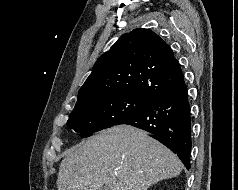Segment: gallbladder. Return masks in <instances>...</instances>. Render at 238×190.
<instances>
[{
	"mask_svg": "<svg viewBox=\"0 0 238 190\" xmlns=\"http://www.w3.org/2000/svg\"><path fill=\"white\" fill-rule=\"evenodd\" d=\"M99 190H106L105 186H102Z\"/></svg>",
	"mask_w": 238,
	"mask_h": 190,
	"instance_id": "bac80fb5",
	"label": "gallbladder"
}]
</instances>
